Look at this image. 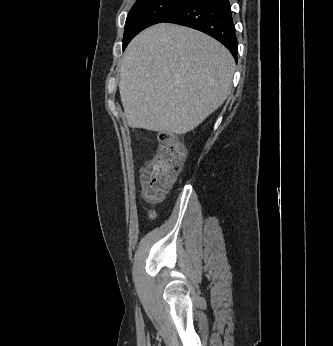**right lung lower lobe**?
Here are the masks:
<instances>
[{
	"mask_svg": "<svg viewBox=\"0 0 333 346\" xmlns=\"http://www.w3.org/2000/svg\"><path fill=\"white\" fill-rule=\"evenodd\" d=\"M163 22L187 26L221 42L237 62V38L229 0H185Z\"/></svg>",
	"mask_w": 333,
	"mask_h": 346,
	"instance_id": "1",
	"label": "right lung lower lobe"
}]
</instances>
